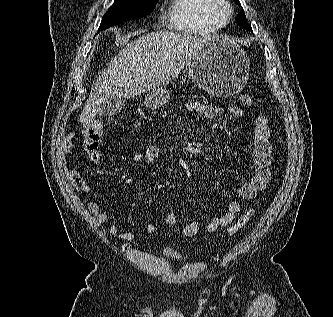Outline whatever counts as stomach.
I'll return each mask as SVG.
<instances>
[{
  "instance_id": "0dacf381",
  "label": "stomach",
  "mask_w": 333,
  "mask_h": 317,
  "mask_svg": "<svg viewBox=\"0 0 333 317\" xmlns=\"http://www.w3.org/2000/svg\"><path fill=\"white\" fill-rule=\"evenodd\" d=\"M250 70V59L234 40L216 37L203 44L187 62L192 82L200 89L218 98H227L245 86ZM169 91L158 87L145 96L147 108L157 109L166 104Z\"/></svg>"
}]
</instances>
